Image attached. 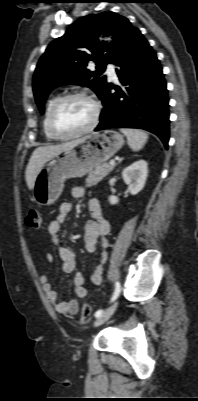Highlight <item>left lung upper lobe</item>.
Masks as SVG:
<instances>
[{"label":"left lung upper lobe","mask_w":198,"mask_h":401,"mask_svg":"<svg viewBox=\"0 0 198 401\" xmlns=\"http://www.w3.org/2000/svg\"><path fill=\"white\" fill-rule=\"evenodd\" d=\"M137 28L129 20L108 11L78 19L66 33L54 40L40 58L33 76L37 106L44 113L47 96L55 87L78 84L91 88L100 98L107 84V63H114ZM113 35V44L99 43L97 36ZM89 61L97 71L86 69Z\"/></svg>","instance_id":"5c2ea615"}]
</instances>
